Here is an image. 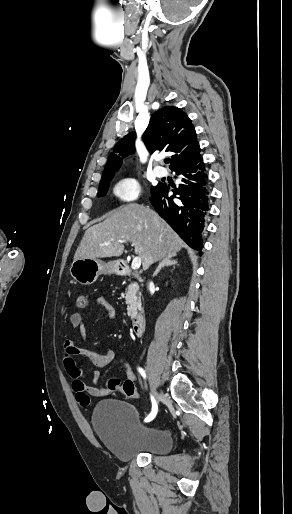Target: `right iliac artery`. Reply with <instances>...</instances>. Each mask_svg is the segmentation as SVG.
Listing matches in <instances>:
<instances>
[{"instance_id": "1", "label": "right iliac artery", "mask_w": 292, "mask_h": 514, "mask_svg": "<svg viewBox=\"0 0 292 514\" xmlns=\"http://www.w3.org/2000/svg\"><path fill=\"white\" fill-rule=\"evenodd\" d=\"M138 371L140 372V374H141L144 378L146 377L145 372H144V370H143L142 368H138ZM150 398H151V402H152V411H151V413H150V414L145 418V420H144L145 422H150V421H152V420L155 418V416H156V414H157V411H158V406H157V403H156L155 398H154L152 395L150 396Z\"/></svg>"}]
</instances>
